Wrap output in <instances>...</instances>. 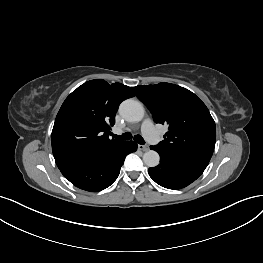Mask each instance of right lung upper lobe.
Returning <instances> with one entry per match:
<instances>
[{
  "mask_svg": "<svg viewBox=\"0 0 263 263\" xmlns=\"http://www.w3.org/2000/svg\"><path fill=\"white\" fill-rule=\"evenodd\" d=\"M131 88L102 79L88 81L62 104L51 134L60 170L86 162L124 141L109 139L119 104L133 97Z\"/></svg>",
  "mask_w": 263,
  "mask_h": 263,
  "instance_id": "obj_1",
  "label": "right lung upper lobe"
}]
</instances>
